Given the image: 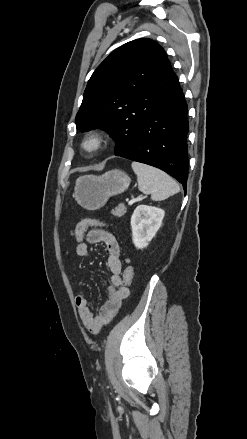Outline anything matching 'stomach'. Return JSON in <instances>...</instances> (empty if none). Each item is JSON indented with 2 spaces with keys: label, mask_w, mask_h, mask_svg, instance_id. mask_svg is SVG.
<instances>
[{
  "label": "stomach",
  "mask_w": 247,
  "mask_h": 439,
  "mask_svg": "<svg viewBox=\"0 0 247 439\" xmlns=\"http://www.w3.org/2000/svg\"><path fill=\"white\" fill-rule=\"evenodd\" d=\"M129 185V176L122 170L114 169L101 176L79 177L73 196L83 208L97 210L102 208L111 196L125 192Z\"/></svg>",
  "instance_id": "0dacf381"
}]
</instances>
